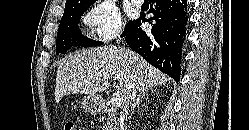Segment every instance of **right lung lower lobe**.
Returning <instances> with one entry per match:
<instances>
[{
	"mask_svg": "<svg viewBox=\"0 0 249 130\" xmlns=\"http://www.w3.org/2000/svg\"><path fill=\"white\" fill-rule=\"evenodd\" d=\"M187 11L186 0H153L149 13L154 16L146 19L145 15H141L133 21L124 35L132 50L176 82L180 79ZM144 22L152 25L151 31L145 32L141 29Z\"/></svg>",
	"mask_w": 249,
	"mask_h": 130,
	"instance_id": "98d812e1",
	"label": "right lung lower lobe"
}]
</instances>
